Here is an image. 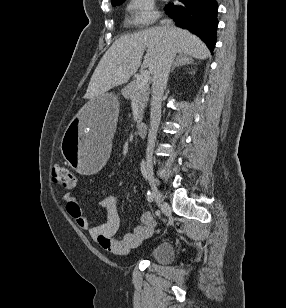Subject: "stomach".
Wrapping results in <instances>:
<instances>
[{
  "instance_id": "1",
  "label": "stomach",
  "mask_w": 286,
  "mask_h": 308,
  "mask_svg": "<svg viewBox=\"0 0 286 308\" xmlns=\"http://www.w3.org/2000/svg\"><path fill=\"white\" fill-rule=\"evenodd\" d=\"M72 117L65 122L64 140L60 149L66 163L79 174H100L108 156H111V135L119 133L120 105L115 93H104L100 97H91Z\"/></svg>"
}]
</instances>
